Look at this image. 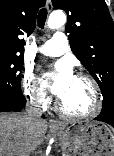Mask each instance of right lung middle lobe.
Masks as SVG:
<instances>
[{"instance_id": "1", "label": "right lung middle lobe", "mask_w": 114, "mask_h": 156, "mask_svg": "<svg viewBox=\"0 0 114 156\" xmlns=\"http://www.w3.org/2000/svg\"><path fill=\"white\" fill-rule=\"evenodd\" d=\"M23 68V56L0 55V97L23 98L20 87V71Z\"/></svg>"}]
</instances>
